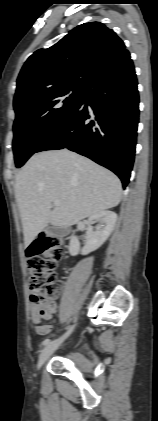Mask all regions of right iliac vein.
<instances>
[{
	"label": "right iliac vein",
	"mask_w": 158,
	"mask_h": 421,
	"mask_svg": "<svg viewBox=\"0 0 158 421\" xmlns=\"http://www.w3.org/2000/svg\"><path fill=\"white\" fill-rule=\"evenodd\" d=\"M73 328L74 326H71L64 335H62L58 339L53 340L52 342H50L43 348L38 358V363H37L38 369H40L43 366L46 360L54 353V351L61 345V343L71 334V332L73 331Z\"/></svg>",
	"instance_id": "right-iliac-vein-1"
}]
</instances>
